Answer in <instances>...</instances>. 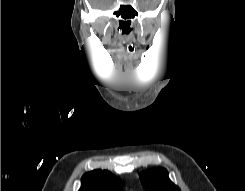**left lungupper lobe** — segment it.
Returning <instances> with one entry per match:
<instances>
[{
    "label": "left lung upper lobe",
    "mask_w": 245,
    "mask_h": 191,
    "mask_svg": "<svg viewBox=\"0 0 245 191\" xmlns=\"http://www.w3.org/2000/svg\"><path fill=\"white\" fill-rule=\"evenodd\" d=\"M140 179L147 191H181L168 177L163 168L150 169L140 174Z\"/></svg>",
    "instance_id": "5c2ea615"
}]
</instances>
